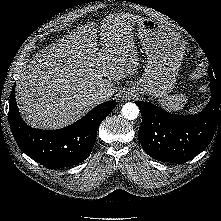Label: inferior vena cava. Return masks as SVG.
<instances>
[{"mask_svg":"<svg viewBox=\"0 0 221 221\" xmlns=\"http://www.w3.org/2000/svg\"><path fill=\"white\" fill-rule=\"evenodd\" d=\"M91 96L97 101L101 102L102 100H106L108 98V93L105 90H96Z\"/></svg>","mask_w":221,"mask_h":221,"instance_id":"1","label":"inferior vena cava"}]
</instances>
